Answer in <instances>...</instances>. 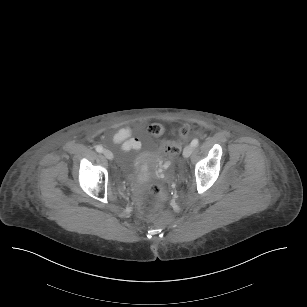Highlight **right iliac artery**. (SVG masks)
Wrapping results in <instances>:
<instances>
[{
    "instance_id": "1",
    "label": "right iliac artery",
    "mask_w": 307,
    "mask_h": 307,
    "mask_svg": "<svg viewBox=\"0 0 307 307\" xmlns=\"http://www.w3.org/2000/svg\"><path fill=\"white\" fill-rule=\"evenodd\" d=\"M96 151L99 152V153H102L103 152V147L102 146H96Z\"/></svg>"
}]
</instances>
